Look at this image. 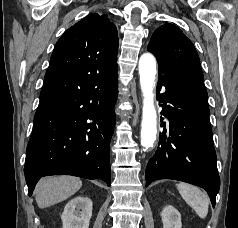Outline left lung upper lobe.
I'll use <instances>...</instances> for the list:
<instances>
[{
  "instance_id": "1",
  "label": "left lung upper lobe",
  "mask_w": 238,
  "mask_h": 228,
  "mask_svg": "<svg viewBox=\"0 0 238 228\" xmlns=\"http://www.w3.org/2000/svg\"><path fill=\"white\" fill-rule=\"evenodd\" d=\"M148 51L156 56L159 73L171 75L208 99L198 53L177 26L165 23L157 28L148 44Z\"/></svg>"
}]
</instances>
